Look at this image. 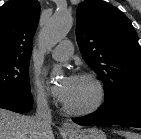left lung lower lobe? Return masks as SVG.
Returning a JSON list of instances; mask_svg holds the SVG:
<instances>
[{
    "label": "left lung lower lobe",
    "instance_id": "left-lung-lower-lobe-1",
    "mask_svg": "<svg viewBox=\"0 0 141 139\" xmlns=\"http://www.w3.org/2000/svg\"><path fill=\"white\" fill-rule=\"evenodd\" d=\"M72 120L86 126L116 124L141 128V90L126 92L105 102L96 112Z\"/></svg>",
    "mask_w": 141,
    "mask_h": 139
}]
</instances>
